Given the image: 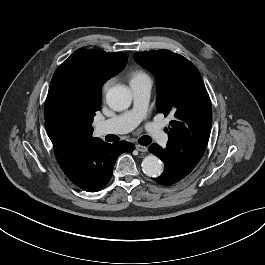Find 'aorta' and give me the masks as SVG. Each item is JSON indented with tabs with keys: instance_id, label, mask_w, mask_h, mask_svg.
Masks as SVG:
<instances>
[{
	"instance_id": "aorta-1",
	"label": "aorta",
	"mask_w": 265,
	"mask_h": 265,
	"mask_svg": "<svg viewBox=\"0 0 265 265\" xmlns=\"http://www.w3.org/2000/svg\"><path fill=\"white\" fill-rule=\"evenodd\" d=\"M106 101L110 108L122 111L131 105L132 94L125 85H115L106 94ZM142 170L148 177H158L162 173L161 161L155 155H148L142 161Z\"/></svg>"
}]
</instances>
